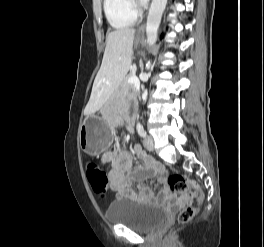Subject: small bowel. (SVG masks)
Returning <instances> with one entry per match:
<instances>
[{
    "mask_svg": "<svg viewBox=\"0 0 264 247\" xmlns=\"http://www.w3.org/2000/svg\"><path fill=\"white\" fill-rule=\"evenodd\" d=\"M133 150L142 159V164L137 166L133 171H131L133 167L132 158L125 150L108 151L103 155L102 161L112 164L109 171L110 189L116 192L119 199H148L157 201L172 199L174 195L167 186V173L164 166L149 156L140 145L136 144ZM149 178H156L163 186L157 196L150 187L144 184H138L136 190L133 188L134 182H140Z\"/></svg>",
    "mask_w": 264,
    "mask_h": 247,
    "instance_id": "c3829d8e",
    "label": "small bowel"
}]
</instances>
